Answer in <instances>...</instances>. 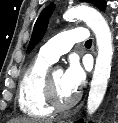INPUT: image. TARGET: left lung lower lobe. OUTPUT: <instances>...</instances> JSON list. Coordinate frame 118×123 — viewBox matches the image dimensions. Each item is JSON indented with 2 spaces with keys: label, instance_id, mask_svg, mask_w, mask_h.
Wrapping results in <instances>:
<instances>
[{
  "label": "left lung lower lobe",
  "instance_id": "left-lung-lower-lobe-1",
  "mask_svg": "<svg viewBox=\"0 0 118 123\" xmlns=\"http://www.w3.org/2000/svg\"><path fill=\"white\" fill-rule=\"evenodd\" d=\"M83 121L82 120H79V121H77L76 123H82Z\"/></svg>",
  "mask_w": 118,
  "mask_h": 123
}]
</instances>
